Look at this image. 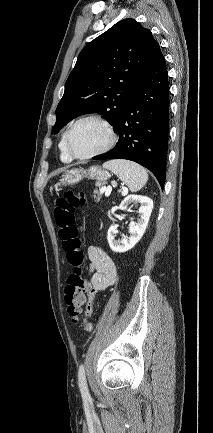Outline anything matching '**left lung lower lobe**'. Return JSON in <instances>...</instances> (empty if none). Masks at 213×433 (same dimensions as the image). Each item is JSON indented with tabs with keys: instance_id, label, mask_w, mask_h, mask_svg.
I'll use <instances>...</instances> for the list:
<instances>
[{
	"instance_id": "left-lung-lower-lobe-1",
	"label": "left lung lower lobe",
	"mask_w": 213,
	"mask_h": 433,
	"mask_svg": "<svg viewBox=\"0 0 213 433\" xmlns=\"http://www.w3.org/2000/svg\"><path fill=\"white\" fill-rule=\"evenodd\" d=\"M119 141L93 159H127L149 169L164 188L169 135V83L159 50L152 66L127 102L115 129Z\"/></svg>"
}]
</instances>
